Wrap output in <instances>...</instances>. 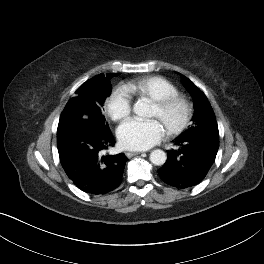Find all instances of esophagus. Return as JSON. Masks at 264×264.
I'll list each match as a JSON object with an SVG mask.
<instances>
[{
	"instance_id": "obj_1",
	"label": "esophagus",
	"mask_w": 264,
	"mask_h": 264,
	"mask_svg": "<svg viewBox=\"0 0 264 264\" xmlns=\"http://www.w3.org/2000/svg\"><path fill=\"white\" fill-rule=\"evenodd\" d=\"M142 152H126V156L128 157V158H131V157H133V156H135V155H139V154H141Z\"/></svg>"
}]
</instances>
